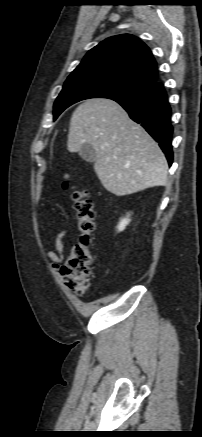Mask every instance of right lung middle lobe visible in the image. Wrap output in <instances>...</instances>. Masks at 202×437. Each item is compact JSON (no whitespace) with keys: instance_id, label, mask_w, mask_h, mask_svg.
Returning <instances> with one entry per match:
<instances>
[{"instance_id":"dd1d6c3e","label":"right lung middle lobe","mask_w":202,"mask_h":437,"mask_svg":"<svg viewBox=\"0 0 202 437\" xmlns=\"http://www.w3.org/2000/svg\"><path fill=\"white\" fill-rule=\"evenodd\" d=\"M154 84L131 78L127 75L87 70L72 72L54 103V120L70 105L89 98L134 96L150 89Z\"/></svg>"}]
</instances>
